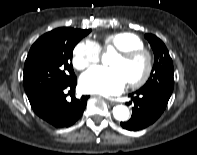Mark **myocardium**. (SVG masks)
Listing matches in <instances>:
<instances>
[{"mask_svg":"<svg viewBox=\"0 0 197 155\" xmlns=\"http://www.w3.org/2000/svg\"><path fill=\"white\" fill-rule=\"evenodd\" d=\"M118 55L123 59L130 60L138 57H142L145 60V70L140 78L129 81L128 86L130 88H140L147 83L150 79L153 71V57L149 50L143 48L125 49L119 50Z\"/></svg>","mask_w":197,"mask_h":155,"instance_id":"myocardium-1","label":"myocardium"}]
</instances>
